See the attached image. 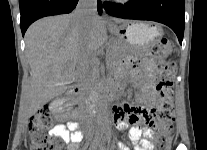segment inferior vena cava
Segmentation results:
<instances>
[{"label":"inferior vena cava","mask_w":207,"mask_h":150,"mask_svg":"<svg viewBox=\"0 0 207 150\" xmlns=\"http://www.w3.org/2000/svg\"><path fill=\"white\" fill-rule=\"evenodd\" d=\"M74 15L78 23L87 29L97 16V0H79ZM91 58V52L84 50L78 63L80 78L84 83L89 74Z\"/></svg>","instance_id":"602c4592"}]
</instances>
